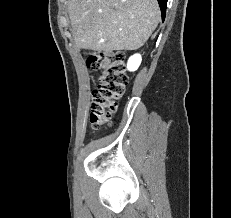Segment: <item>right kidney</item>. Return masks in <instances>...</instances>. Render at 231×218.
<instances>
[{
	"mask_svg": "<svg viewBox=\"0 0 231 218\" xmlns=\"http://www.w3.org/2000/svg\"><path fill=\"white\" fill-rule=\"evenodd\" d=\"M142 58L140 54H135L131 56L127 63V68L129 71H135L138 69L139 65L141 64Z\"/></svg>",
	"mask_w": 231,
	"mask_h": 218,
	"instance_id": "right-kidney-1",
	"label": "right kidney"
}]
</instances>
